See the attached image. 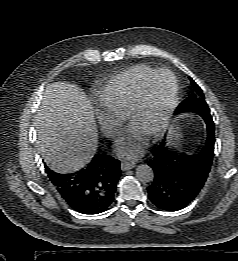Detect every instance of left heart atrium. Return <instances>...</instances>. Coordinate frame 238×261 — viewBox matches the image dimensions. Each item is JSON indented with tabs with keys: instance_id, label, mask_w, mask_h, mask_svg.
Segmentation results:
<instances>
[{
	"instance_id": "left-heart-atrium-1",
	"label": "left heart atrium",
	"mask_w": 238,
	"mask_h": 261,
	"mask_svg": "<svg viewBox=\"0 0 238 261\" xmlns=\"http://www.w3.org/2000/svg\"><path fill=\"white\" fill-rule=\"evenodd\" d=\"M147 140L146 133L131 125L116 139L114 149L119 156L134 160L145 152Z\"/></svg>"
}]
</instances>
